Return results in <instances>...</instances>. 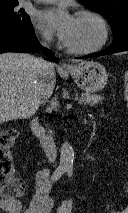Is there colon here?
Wrapping results in <instances>:
<instances>
[{
	"label": "colon",
	"instance_id": "1",
	"mask_svg": "<svg viewBox=\"0 0 128 213\" xmlns=\"http://www.w3.org/2000/svg\"><path fill=\"white\" fill-rule=\"evenodd\" d=\"M123 80L125 100L128 107V70L125 71ZM17 137L18 132L16 129L11 128L0 131V195L7 200L17 197L22 191V183L16 177L11 153ZM72 208L73 201L67 199L58 207L56 213H70Z\"/></svg>",
	"mask_w": 128,
	"mask_h": 213
}]
</instances>
